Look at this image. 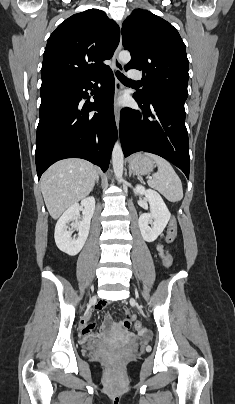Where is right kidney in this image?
Returning <instances> with one entry per match:
<instances>
[{
  "instance_id": "right-kidney-1",
  "label": "right kidney",
  "mask_w": 235,
  "mask_h": 404,
  "mask_svg": "<svg viewBox=\"0 0 235 404\" xmlns=\"http://www.w3.org/2000/svg\"><path fill=\"white\" fill-rule=\"evenodd\" d=\"M95 210V199L87 197L78 203L70 206L57 221L55 227V242L57 247L64 253L75 256L83 248L90 230V222ZM82 211L83 219L77 221L79 212ZM71 229L68 223L71 222ZM73 229H77V238L72 237Z\"/></svg>"
}]
</instances>
